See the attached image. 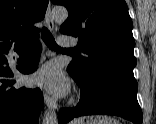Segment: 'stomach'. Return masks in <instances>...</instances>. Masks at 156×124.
<instances>
[{
    "instance_id": "0dacf381",
    "label": "stomach",
    "mask_w": 156,
    "mask_h": 124,
    "mask_svg": "<svg viewBox=\"0 0 156 124\" xmlns=\"http://www.w3.org/2000/svg\"><path fill=\"white\" fill-rule=\"evenodd\" d=\"M82 121L79 120H75L73 122H71V124H114V122L107 120V119H102V120H87V121H83V123H81Z\"/></svg>"
}]
</instances>
